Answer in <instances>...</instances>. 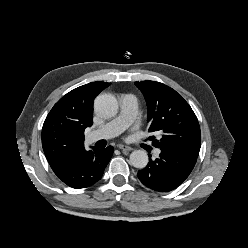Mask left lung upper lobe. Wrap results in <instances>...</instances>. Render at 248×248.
<instances>
[{
  "label": "left lung upper lobe",
  "instance_id": "1",
  "mask_svg": "<svg viewBox=\"0 0 248 248\" xmlns=\"http://www.w3.org/2000/svg\"><path fill=\"white\" fill-rule=\"evenodd\" d=\"M148 106L150 132L161 138L152 142L160 149L198 157L201 132L198 119L184 98L172 88L155 81L135 82ZM154 139V137H153Z\"/></svg>",
  "mask_w": 248,
  "mask_h": 248
}]
</instances>
